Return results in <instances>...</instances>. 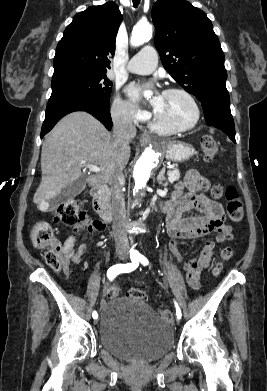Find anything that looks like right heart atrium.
Segmentation results:
<instances>
[{
	"instance_id": "1",
	"label": "right heart atrium",
	"mask_w": 267,
	"mask_h": 391,
	"mask_svg": "<svg viewBox=\"0 0 267 391\" xmlns=\"http://www.w3.org/2000/svg\"><path fill=\"white\" fill-rule=\"evenodd\" d=\"M114 122L122 125H137L148 119V114L136 108L131 102L116 96L111 106Z\"/></svg>"
}]
</instances>
